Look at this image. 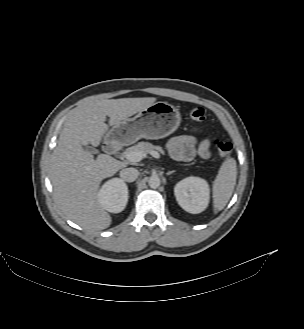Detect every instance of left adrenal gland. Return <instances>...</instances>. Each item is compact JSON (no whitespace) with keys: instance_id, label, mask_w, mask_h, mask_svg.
<instances>
[{"instance_id":"a2214340","label":"left adrenal gland","mask_w":304,"mask_h":329,"mask_svg":"<svg viewBox=\"0 0 304 329\" xmlns=\"http://www.w3.org/2000/svg\"><path fill=\"white\" fill-rule=\"evenodd\" d=\"M174 172H175L174 170L173 171H169V172L166 173V175H170V174H172Z\"/></svg>"}]
</instances>
